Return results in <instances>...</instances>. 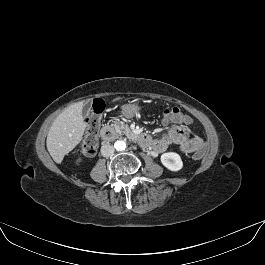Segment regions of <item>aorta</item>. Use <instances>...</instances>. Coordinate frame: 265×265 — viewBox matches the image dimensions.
<instances>
[{"instance_id": "obj_1", "label": "aorta", "mask_w": 265, "mask_h": 265, "mask_svg": "<svg viewBox=\"0 0 265 265\" xmlns=\"http://www.w3.org/2000/svg\"><path fill=\"white\" fill-rule=\"evenodd\" d=\"M126 142L123 141V140H117L115 143H114V148L117 150V151H124L126 149Z\"/></svg>"}]
</instances>
